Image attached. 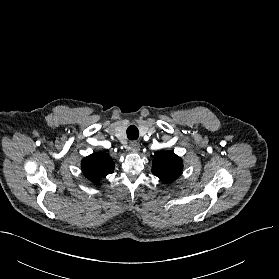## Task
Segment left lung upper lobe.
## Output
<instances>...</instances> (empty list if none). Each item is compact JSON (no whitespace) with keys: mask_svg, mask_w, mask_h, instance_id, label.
Wrapping results in <instances>:
<instances>
[{"mask_svg":"<svg viewBox=\"0 0 279 279\" xmlns=\"http://www.w3.org/2000/svg\"><path fill=\"white\" fill-rule=\"evenodd\" d=\"M182 169V159L173 151H160L153 156L152 173L165 183L176 180Z\"/></svg>","mask_w":279,"mask_h":279,"instance_id":"5c2ea615","label":"left lung upper lobe"}]
</instances>
